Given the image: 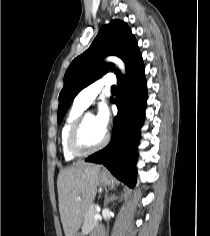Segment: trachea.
Instances as JSON below:
<instances>
[{
	"instance_id": "1",
	"label": "trachea",
	"mask_w": 210,
	"mask_h": 236,
	"mask_svg": "<svg viewBox=\"0 0 210 236\" xmlns=\"http://www.w3.org/2000/svg\"><path fill=\"white\" fill-rule=\"evenodd\" d=\"M117 90V88H116V86H112V88H111V91H116Z\"/></svg>"
}]
</instances>
